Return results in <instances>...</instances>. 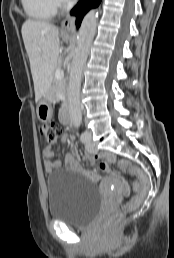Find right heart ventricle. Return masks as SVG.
Instances as JSON below:
<instances>
[{
    "label": "right heart ventricle",
    "mask_w": 174,
    "mask_h": 258,
    "mask_svg": "<svg viewBox=\"0 0 174 258\" xmlns=\"http://www.w3.org/2000/svg\"><path fill=\"white\" fill-rule=\"evenodd\" d=\"M25 14L37 21H46L55 14L57 7L54 0H21Z\"/></svg>",
    "instance_id": "e07e8e85"
}]
</instances>
